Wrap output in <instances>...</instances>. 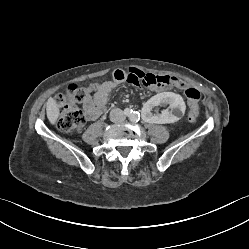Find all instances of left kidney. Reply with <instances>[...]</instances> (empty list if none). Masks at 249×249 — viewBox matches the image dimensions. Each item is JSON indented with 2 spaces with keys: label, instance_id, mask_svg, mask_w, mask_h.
Listing matches in <instances>:
<instances>
[{
  "label": "left kidney",
  "instance_id": "1",
  "mask_svg": "<svg viewBox=\"0 0 249 249\" xmlns=\"http://www.w3.org/2000/svg\"><path fill=\"white\" fill-rule=\"evenodd\" d=\"M185 99L173 92H163L151 98L143 111L142 117L146 124H169L176 122L185 111Z\"/></svg>",
  "mask_w": 249,
  "mask_h": 249
}]
</instances>
